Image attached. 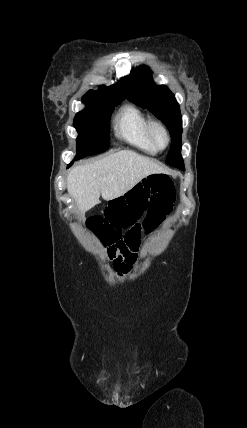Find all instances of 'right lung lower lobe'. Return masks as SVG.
<instances>
[{"label":"right lung lower lobe","mask_w":247,"mask_h":428,"mask_svg":"<svg viewBox=\"0 0 247 428\" xmlns=\"http://www.w3.org/2000/svg\"><path fill=\"white\" fill-rule=\"evenodd\" d=\"M72 164H73V162H71V163L68 165V167H70Z\"/></svg>","instance_id":"98d812e1"}]
</instances>
